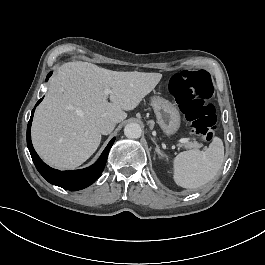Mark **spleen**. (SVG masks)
Wrapping results in <instances>:
<instances>
[{"instance_id": "1", "label": "spleen", "mask_w": 265, "mask_h": 265, "mask_svg": "<svg viewBox=\"0 0 265 265\" xmlns=\"http://www.w3.org/2000/svg\"><path fill=\"white\" fill-rule=\"evenodd\" d=\"M223 160V141L214 136L205 152L198 149L183 151L172 159L173 180L184 188L200 187L215 177Z\"/></svg>"}]
</instances>
